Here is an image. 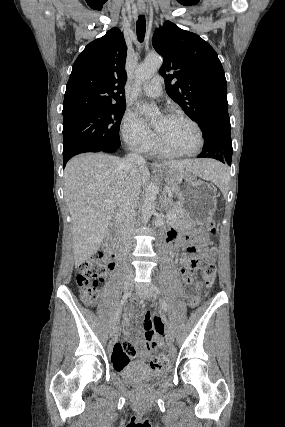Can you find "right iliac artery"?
<instances>
[{
  "label": "right iliac artery",
  "instance_id": "82829eb1",
  "mask_svg": "<svg viewBox=\"0 0 285 427\" xmlns=\"http://www.w3.org/2000/svg\"><path fill=\"white\" fill-rule=\"evenodd\" d=\"M130 296V293L128 292V293H125L124 295H123V297H122V299H121V302H120V305H119V307H118V309H117V311H116V313H115V316H114V322H117L118 320H119V315H120V313H121V310H122V307H123V305L126 303V301H127V299H128V297Z\"/></svg>",
  "mask_w": 285,
  "mask_h": 427
}]
</instances>
